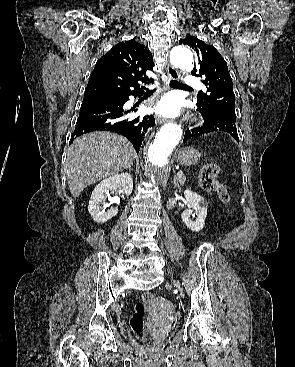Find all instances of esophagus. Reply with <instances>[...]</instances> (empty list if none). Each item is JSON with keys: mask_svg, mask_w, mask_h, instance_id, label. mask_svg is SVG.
<instances>
[{"mask_svg": "<svg viewBox=\"0 0 295 367\" xmlns=\"http://www.w3.org/2000/svg\"><path fill=\"white\" fill-rule=\"evenodd\" d=\"M166 71H167L168 78L170 80L178 78V71L171 65L166 66ZM156 121L158 124H163L167 122V119L161 116H156Z\"/></svg>", "mask_w": 295, "mask_h": 367, "instance_id": "34e87169", "label": "esophagus"}]
</instances>
